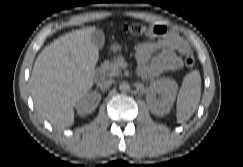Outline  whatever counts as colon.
<instances>
[{
	"label": "colon",
	"instance_id": "colon-1",
	"mask_svg": "<svg viewBox=\"0 0 243 167\" xmlns=\"http://www.w3.org/2000/svg\"><path fill=\"white\" fill-rule=\"evenodd\" d=\"M124 32L132 37L149 39L153 36H160L166 32V27L162 24H154L147 26L141 23H133L124 26ZM184 64L187 68H192L195 64V59L190 52L185 54Z\"/></svg>",
	"mask_w": 243,
	"mask_h": 167
}]
</instances>
